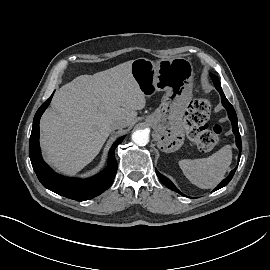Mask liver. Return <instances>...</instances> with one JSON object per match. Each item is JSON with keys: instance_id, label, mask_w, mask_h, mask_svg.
Returning a JSON list of instances; mask_svg holds the SVG:
<instances>
[{"instance_id": "liver-1", "label": "liver", "mask_w": 270, "mask_h": 270, "mask_svg": "<svg viewBox=\"0 0 270 270\" xmlns=\"http://www.w3.org/2000/svg\"><path fill=\"white\" fill-rule=\"evenodd\" d=\"M127 61L94 75H81L57 90L40 121L41 147L58 171L74 175L100 152L114 130L112 123L131 125L145 94Z\"/></svg>"}]
</instances>
